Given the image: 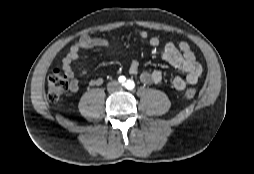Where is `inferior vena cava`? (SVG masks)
Returning <instances> with one entry per match:
<instances>
[{"label": "inferior vena cava", "instance_id": "obj_1", "mask_svg": "<svg viewBox=\"0 0 254 174\" xmlns=\"http://www.w3.org/2000/svg\"><path fill=\"white\" fill-rule=\"evenodd\" d=\"M110 86H115L116 88L118 87V83L117 82H112L111 84H110Z\"/></svg>", "mask_w": 254, "mask_h": 174}]
</instances>
